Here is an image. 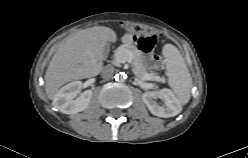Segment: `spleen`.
<instances>
[{"label":"spleen","instance_id":"1","mask_svg":"<svg viewBox=\"0 0 248 158\" xmlns=\"http://www.w3.org/2000/svg\"><path fill=\"white\" fill-rule=\"evenodd\" d=\"M168 83L177 96L181 104H186L190 100L192 88V78L179 50L171 44H166L163 48Z\"/></svg>","mask_w":248,"mask_h":158}]
</instances>
